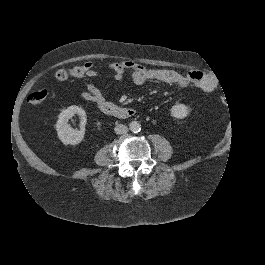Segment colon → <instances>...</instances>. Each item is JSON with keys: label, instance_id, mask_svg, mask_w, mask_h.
Here are the masks:
<instances>
[{"label": "colon", "instance_id": "5ec220e1", "mask_svg": "<svg viewBox=\"0 0 265 265\" xmlns=\"http://www.w3.org/2000/svg\"><path fill=\"white\" fill-rule=\"evenodd\" d=\"M86 73V66H76L71 69H59L55 73V77L59 81H64L69 77H82ZM47 97L46 90H38L28 96V102L34 105L42 103Z\"/></svg>", "mask_w": 265, "mask_h": 265}]
</instances>
